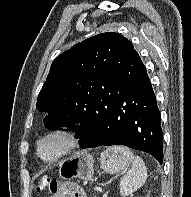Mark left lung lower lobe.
<instances>
[{
    "label": "left lung lower lobe",
    "mask_w": 191,
    "mask_h": 197,
    "mask_svg": "<svg viewBox=\"0 0 191 197\" xmlns=\"http://www.w3.org/2000/svg\"><path fill=\"white\" fill-rule=\"evenodd\" d=\"M146 68L130 72L100 106L85 116L76 137L83 148L124 145L144 151L163 163V139Z\"/></svg>",
    "instance_id": "0a47b994"
}]
</instances>
